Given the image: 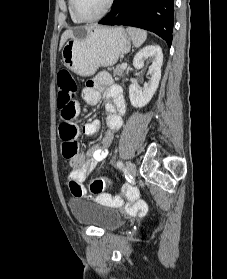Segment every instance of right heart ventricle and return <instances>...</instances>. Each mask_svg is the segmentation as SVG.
I'll use <instances>...</instances> for the list:
<instances>
[{
  "label": "right heart ventricle",
  "mask_w": 227,
  "mask_h": 279,
  "mask_svg": "<svg viewBox=\"0 0 227 279\" xmlns=\"http://www.w3.org/2000/svg\"><path fill=\"white\" fill-rule=\"evenodd\" d=\"M68 11H69L71 20H72L74 23H79L80 21L77 20V19L73 16V14H72V12H71V9H70V0H68Z\"/></svg>",
  "instance_id": "obj_1"
}]
</instances>
